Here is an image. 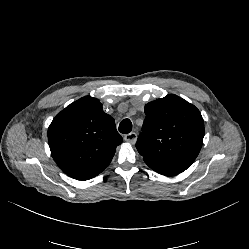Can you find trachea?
I'll list each match as a JSON object with an SVG mask.
<instances>
[{
	"label": "trachea",
	"mask_w": 249,
	"mask_h": 249,
	"mask_svg": "<svg viewBox=\"0 0 249 249\" xmlns=\"http://www.w3.org/2000/svg\"><path fill=\"white\" fill-rule=\"evenodd\" d=\"M131 130H132L131 121L128 118L122 120L119 125V131L123 134H128L131 132Z\"/></svg>",
	"instance_id": "trachea-1"
}]
</instances>
